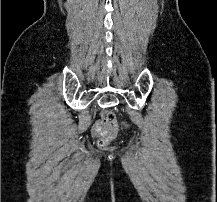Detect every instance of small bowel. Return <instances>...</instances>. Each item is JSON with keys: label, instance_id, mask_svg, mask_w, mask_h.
<instances>
[{"label": "small bowel", "instance_id": "obj_1", "mask_svg": "<svg viewBox=\"0 0 217 202\" xmlns=\"http://www.w3.org/2000/svg\"><path fill=\"white\" fill-rule=\"evenodd\" d=\"M108 129L102 120H97L92 126V136L102 138L107 135Z\"/></svg>", "mask_w": 217, "mask_h": 202}]
</instances>
